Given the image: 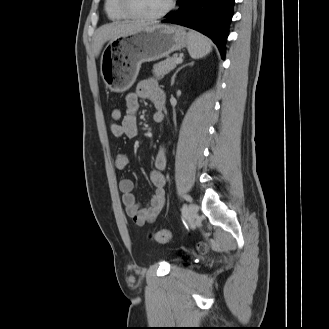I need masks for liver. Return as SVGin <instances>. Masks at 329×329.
<instances>
[{"instance_id":"liver-1","label":"liver","mask_w":329,"mask_h":329,"mask_svg":"<svg viewBox=\"0 0 329 329\" xmlns=\"http://www.w3.org/2000/svg\"><path fill=\"white\" fill-rule=\"evenodd\" d=\"M150 25L141 23H127V22H114L106 24L97 29L94 36L93 51L95 56H98L103 45L118 36L128 35L144 28H148Z\"/></svg>"}]
</instances>
